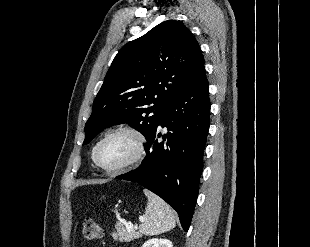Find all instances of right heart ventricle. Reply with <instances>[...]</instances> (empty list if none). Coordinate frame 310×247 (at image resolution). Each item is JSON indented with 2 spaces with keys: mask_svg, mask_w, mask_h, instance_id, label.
I'll use <instances>...</instances> for the list:
<instances>
[{
  "mask_svg": "<svg viewBox=\"0 0 310 247\" xmlns=\"http://www.w3.org/2000/svg\"><path fill=\"white\" fill-rule=\"evenodd\" d=\"M95 147H96V146H94V148H93V150H92V155H93V151H94Z\"/></svg>",
  "mask_w": 310,
  "mask_h": 247,
  "instance_id": "1",
  "label": "right heart ventricle"
}]
</instances>
